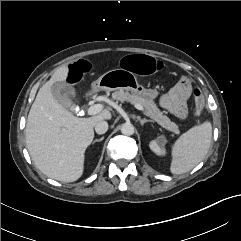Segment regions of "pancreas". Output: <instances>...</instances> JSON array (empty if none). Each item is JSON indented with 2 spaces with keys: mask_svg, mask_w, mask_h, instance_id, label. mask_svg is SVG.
Here are the masks:
<instances>
[{
  "mask_svg": "<svg viewBox=\"0 0 241 241\" xmlns=\"http://www.w3.org/2000/svg\"><path fill=\"white\" fill-rule=\"evenodd\" d=\"M112 98L120 102L127 101L133 104L142 105L145 109V114L149 116L151 119H153V121L157 122L160 126L175 134L179 133L178 126L174 122L170 121V119L167 116L163 115V113L158 109V107L154 103L153 99L146 98L138 94H131L124 90L114 92L112 94Z\"/></svg>",
  "mask_w": 241,
  "mask_h": 241,
  "instance_id": "1",
  "label": "pancreas"
}]
</instances>
